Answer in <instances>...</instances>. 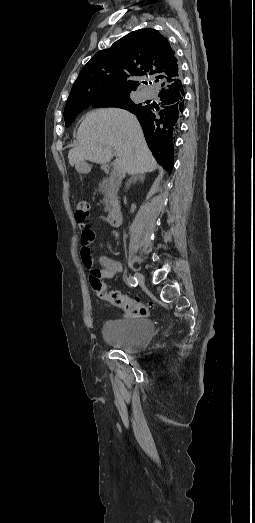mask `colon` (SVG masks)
<instances>
[{"label":"colon","instance_id":"obj_1","mask_svg":"<svg viewBox=\"0 0 255 523\" xmlns=\"http://www.w3.org/2000/svg\"><path fill=\"white\" fill-rule=\"evenodd\" d=\"M89 216V203L86 201H80L77 204L75 218L77 223L84 224L87 222ZM90 283L93 289L96 291L98 296L111 303L112 305L123 309L126 312L146 316L149 314V307L142 303L137 298H132L127 295L121 294L115 290H108L101 282L100 278L96 273L90 274Z\"/></svg>","mask_w":255,"mask_h":523}]
</instances>
